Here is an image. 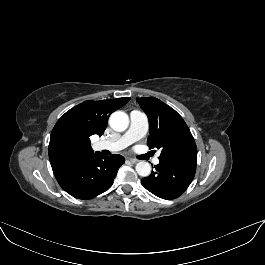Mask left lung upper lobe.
Returning a JSON list of instances; mask_svg holds the SVG:
<instances>
[{
	"mask_svg": "<svg viewBox=\"0 0 265 265\" xmlns=\"http://www.w3.org/2000/svg\"><path fill=\"white\" fill-rule=\"evenodd\" d=\"M148 116L150 149H161L159 159L197 158L194 138L182 117L155 97L137 98Z\"/></svg>",
	"mask_w": 265,
	"mask_h": 265,
	"instance_id": "left-lung-upper-lobe-1",
	"label": "left lung upper lobe"
}]
</instances>
